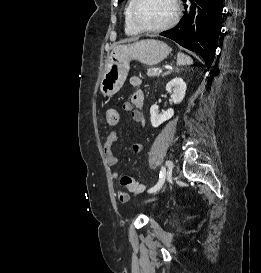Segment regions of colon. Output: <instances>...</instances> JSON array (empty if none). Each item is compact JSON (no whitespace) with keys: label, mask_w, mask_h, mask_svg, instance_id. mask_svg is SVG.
I'll use <instances>...</instances> for the list:
<instances>
[{"label":"colon","mask_w":261,"mask_h":273,"mask_svg":"<svg viewBox=\"0 0 261 273\" xmlns=\"http://www.w3.org/2000/svg\"><path fill=\"white\" fill-rule=\"evenodd\" d=\"M104 118L109 126H115L119 122V112L116 109H107L104 113ZM121 185L133 194H140L144 190V186L132 176H123Z\"/></svg>","instance_id":"5ec220e1"}]
</instances>
